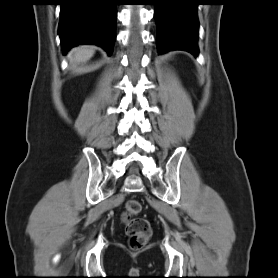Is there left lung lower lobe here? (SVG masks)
<instances>
[{
    "instance_id": "left-lung-lower-lobe-1",
    "label": "left lung lower lobe",
    "mask_w": 278,
    "mask_h": 278,
    "mask_svg": "<svg viewBox=\"0 0 278 278\" xmlns=\"http://www.w3.org/2000/svg\"><path fill=\"white\" fill-rule=\"evenodd\" d=\"M160 53L184 50L197 56L199 0H154Z\"/></svg>"
}]
</instances>
